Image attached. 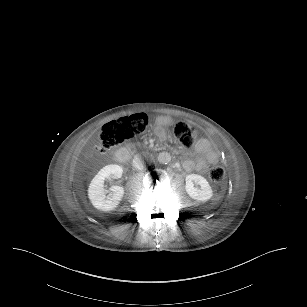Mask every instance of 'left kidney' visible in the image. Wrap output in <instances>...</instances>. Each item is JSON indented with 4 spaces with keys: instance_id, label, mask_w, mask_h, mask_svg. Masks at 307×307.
I'll return each instance as SVG.
<instances>
[{
    "instance_id": "left-kidney-1",
    "label": "left kidney",
    "mask_w": 307,
    "mask_h": 307,
    "mask_svg": "<svg viewBox=\"0 0 307 307\" xmlns=\"http://www.w3.org/2000/svg\"><path fill=\"white\" fill-rule=\"evenodd\" d=\"M185 181V191L190 198L198 202H207L212 198L213 190L203 176L189 174L186 176ZM194 184L200 185V188L195 187Z\"/></svg>"
}]
</instances>
